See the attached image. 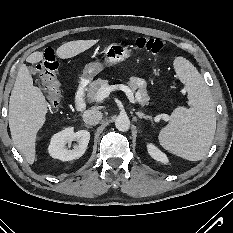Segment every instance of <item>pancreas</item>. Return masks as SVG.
Returning a JSON list of instances; mask_svg holds the SVG:
<instances>
[{
	"instance_id": "pancreas-1",
	"label": "pancreas",
	"mask_w": 233,
	"mask_h": 233,
	"mask_svg": "<svg viewBox=\"0 0 233 233\" xmlns=\"http://www.w3.org/2000/svg\"><path fill=\"white\" fill-rule=\"evenodd\" d=\"M108 80H104L101 78H98L97 80L91 82L88 87L87 91V97L90 101H96V95L98 90L103 85H108ZM128 86L132 90V92H135L137 90V97L136 101L144 106L149 104L150 97L147 94L146 90V81L144 79H141L139 77H130L129 81L127 82Z\"/></svg>"
}]
</instances>
